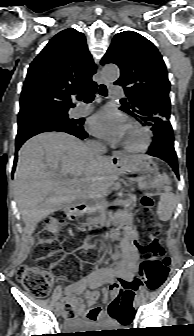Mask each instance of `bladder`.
<instances>
[{"instance_id": "31cf9c89", "label": "bladder", "mask_w": 194, "mask_h": 336, "mask_svg": "<svg viewBox=\"0 0 194 336\" xmlns=\"http://www.w3.org/2000/svg\"><path fill=\"white\" fill-rule=\"evenodd\" d=\"M67 325V324H66ZM70 326H72V328H70L71 330H80V329H86L84 327V325L78 321H71L69 323Z\"/></svg>"}]
</instances>
